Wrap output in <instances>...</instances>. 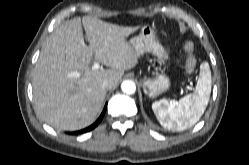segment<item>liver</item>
<instances>
[{"label":"liver","instance_id":"obj_1","mask_svg":"<svg viewBox=\"0 0 249 165\" xmlns=\"http://www.w3.org/2000/svg\"><path fill=\"white\" fill-rule=\"evenodd\" d=\"M82 24L89 45L84 41ZM138 27H123L84 16L66 21L46 40L33 71L36 113L58 130H79L92 124L106 96L103 80L112 88L139 55L126 38ZM92 60L111 69L93 70ZM78 76H75V74Z\"/></svg>","mask_w":249,"mask_h":165}]
</instances>
